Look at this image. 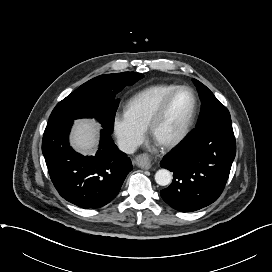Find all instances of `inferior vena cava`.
<instances>
[{
    "label": "inferior vena cava",
    "mask_w": 272,
    "mask_h": 272,
    "mask_svg": "<svg viewBox=\"0 0 272 272\" xmlns=\"http://www.w3.org/2000/svg\"><path fill=\"white\" fill-rule=\"evenodd\" d=\"M118 147L121 151H123L127 154H132L136 151L137 144L132 141H119Z\"/></svg>",
    "instance_id": "1"
}]
</instances>
